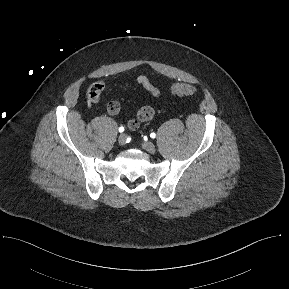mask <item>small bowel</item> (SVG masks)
Masks as SVG:
<instances>
[{"instance_id":"small-bowel-1","label":"small bowel","mask_w":289,"mask_h":289,"mask_svg":"<svg viewBox=\"0 0 289 289\" xmlns=\"http://www.w3.org/2000/svg\"><path fill=\"white\" fill-rule=\"evenodd\" d=\"M135 82L137 85L143 87L146 91H148L152 96L158 97L161 95V90L155 85H153L147 76L138 75L135 79ZM121 87L122 83H114L109 87V89L117 90ZM119 110V104L115 101L110 102L107 106V111L110 115H117L119 113ZM154 115L155 110L153 107L148 105L143 106L137 111L136 116L127 122V128L132 131L136 130L142 123L152 120Z\"/></svg>"}]
</instances>
